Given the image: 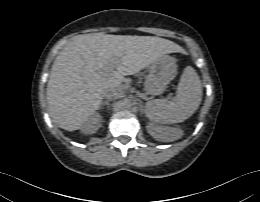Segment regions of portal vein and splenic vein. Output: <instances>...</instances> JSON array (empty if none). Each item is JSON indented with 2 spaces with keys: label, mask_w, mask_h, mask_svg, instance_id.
I'll return each instance as SVG.
<instances>
[{
  "label": "portal vein and splenic vein",
  "mask_w": 260,
  "mask_h": 202,
  "mask_svg": "<svg viewBox=\"0 0 260 202\" xmlns=\"http://www.w3.org/2000/svg\"><path fill=\"white\" fill-rule=\"evenodd\" d=\"M115 66H116V65H115V62H110L109 64H107V65L103 68V71H104L106 74L113 73Z\"/></svg>",
  "instance_id": "portal-vein-and-splenic-vein-1"
}]
</instances>
